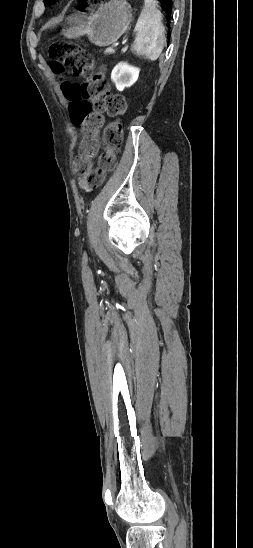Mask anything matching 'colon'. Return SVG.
<instances>
[{"label": "colon", "instance_id": "1", "mask_svg": "<svg viewBox=\"0 0 253 548\" xmlns=\"http://www.w3.org/2000/svg\"><path fill=\"white\" fill-rule=\"evenodd\" d=\"M78 2L82 7H89L98 4L100 0ZM49 57L53 72H69L82 80L80 84H70L68 76H61L58 83L63 87L73 122L85 131L79 153L73 162L74 171L83 176L88 185L99 186L116 166L122 144L121 118L127 110L126 99L110 90L103 69L97 67L92 56L80 46L69 41H57L50 46ZM103 114H107L113 121L104 130V146L97 167L93 168L92 158L98 150L97 134L103 124Z\"/></svg>", "mask_w": 253, "mask_h": 548}]
</instances>
